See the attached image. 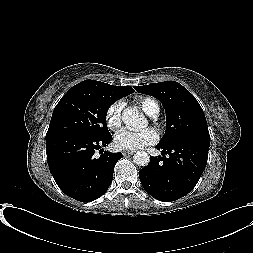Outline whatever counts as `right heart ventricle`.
<instances>
[{
    "label": "right heart ventricle",
    "mask_w": 253,
    "mask_h": 253,
    "mask_svg": "<svg viewBox=\"0 0 253 253\" xmlns=\"http://www.w3.org/2000/svg\"><path fill=\"white\" fill-rule=\"evenodd\" d=\"M136 103L147 115L155 116L159 112V105L152 98L145 97Z\"/></svg>",
    "instance_id": "right-heart-ventricle-1"
}]
</instances>
